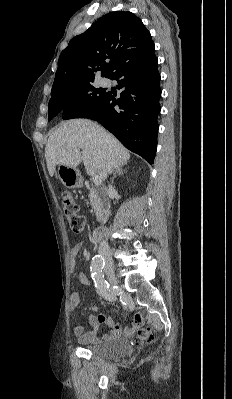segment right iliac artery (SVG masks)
<instances>
[{
  "mask_svg": "<svg viewBox=\"0 0 232 399\" xmlns=\"http://www.w3.org/2000/svg\"><path fill=\"white\" fill-rule=\"evenodd\" d=\"M105 266V259L101 255H94L90 264L91 277L94 282L95 290L98 295L112 300L116 299V295L109 294V283L105 280L102 269Z\"/></svg>",
  "mask_w": 232,
  "mask_h": 399,
  "instance_id": "obj_1",
  "label": "right iliac artery"
}]
</instances>
